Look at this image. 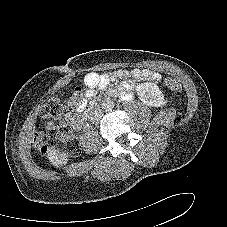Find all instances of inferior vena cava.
<instances>
[{"label":"inferior vena cava","instance_id":"1","mask_svg":"<svg viewBox=\"0 0 227 227\" xmlns=\"http://www.w3.org/2000/svg\"><path fill=\"white\" fill-rule=\"evenodd\" d=\"M103 115V112L99 108H95L90 112V119L92 122L99 120Z\"/></svg>","mask_w":227,"mask_h":227}]
</instances>
